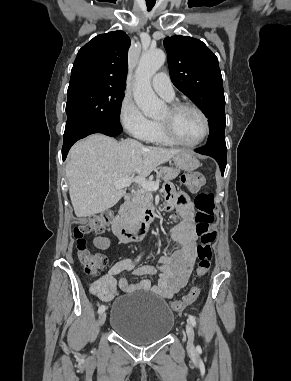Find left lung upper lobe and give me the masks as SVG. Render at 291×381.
Instances as JSON below:
<instances>
[{"label": "left lung upper lobe", "mask_w": 291, "mask_h": 381, "mask_svg": "<svg viewBox=\"0 0 291 381\" xmlns=\"http://www.w3.org/2000/svg\"><path fill=\"white\" fill-rule=\"evenodd\" d=\"M173 84L208 118L207 143L225 142V97L215 54L200 40L175 35L164 39Z\"/></svg>", "instance_id": "5c2ea615"}]
</instances>
